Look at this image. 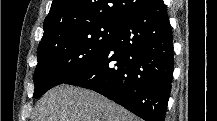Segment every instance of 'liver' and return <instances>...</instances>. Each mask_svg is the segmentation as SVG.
I'll list each match as a JSON object with an SVG mask.
<instances>
[{
	"instance_id": "obj_1",
	"label": "liver",
	"mask_w": 217,
	"mask_h": 121,
	"mask_svg": "<svg viewBox=\"0 0 217 121\" xmlns=\"http://www.w3.org/2000/svg\"><path fill=\"white\" fill-rule=\"evenodd\" d=\"M33 121H138L122 106L80 87L60 85L36 104Z\"/></svg>"
}]
</instances>
